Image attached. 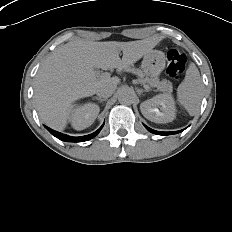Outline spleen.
I'll use <instances>...</instances> for the list:
<instances>
[{"label": "spleen", "instance_id": "1", "mask_svg": "<svg viewBox=\"0 0 232 232\" xmlns=\"http://www.w3.org/2000/svg\"><path fill=\"white\" fill-rule=\"evenodd\" d=\"M203 83L198 68L190 64L184 80L177 89V101L190 115H195L200 108Z\"/></svg>", "mask_w": 232, "mask_h": 232}]
</instances>
